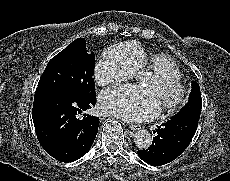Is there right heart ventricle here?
Listing matches in <instances>:
<instances>
[{
	"label": "right heart ventricle",
	"mask_w": 230,
	"mask_h": 181,
	"mask_svg": "<svg viewBox=\"0 0 230 181\" xmlns=\"http://www.w3.org/2000/svg\"><path fill=\"white\" fill-rule=\"evenodd\" d=\"M110 53L117 59H120L128 71L140 75H142L141 71L144 70V68L149 71H154L162 66L177 69L169 57L159 54L149 55L144 46L136 41L121 44L112 49Z\"/></svg>",
	"instance_id": "1"
}]
</instances>
